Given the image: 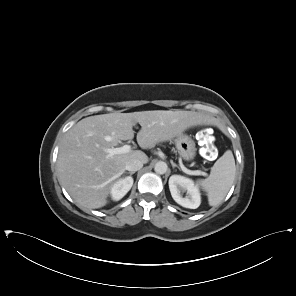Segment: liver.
Masks as SVG:
<instances>
[{
  "mask_svg": "<svg viewBox=\"0 0 296 296\" xmlns=\"http://www.w3.org/2000/svg\"><path fill=\"white\" fill-rule=\"evenodd\" d=\"M214 121L207 114L182 110L114 112L86 117L76 123L61 142L57 160L59 182L78 206L101 208L107 204L111 186L124 173L130 159L149 161L141 150L112 157L105 151L120 141L133 139L135 124L141 126L137 143L143 149H151L189 127L209 125Z\"/></svg>",
  "mask_w": 296,
  "mask_h": 296,
  "instance_id": "obj_1",
  "label": "liver"
}]
</instances>
